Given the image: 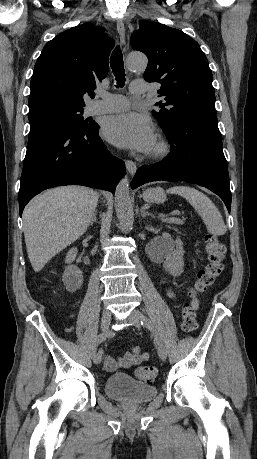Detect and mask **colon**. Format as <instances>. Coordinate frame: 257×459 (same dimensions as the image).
Segmentation results:
<instances>
[{"mask_svg": "<svg viewBox=\"0 0 257 459\" xmlns=\"http://www.w3.org/2000/svg\"><path fill=\"white\" fill-rule=\"evenodd\" d=\"M205 249L207 263L198 272L197 278L188 292L191 298L208 290L224 272L225 247L222 241L214 235H207L205 237ZM181 327L186 333H192L198 327L195 309L189 303L183 306ZM156 374V369L150 366L141 367L136 371L137 377L145 382L152 381Z\"/></svg>", "mask_w": 257, "mask_h": 459, "instance_id": "1", "label": "colon"}]
</instances>
